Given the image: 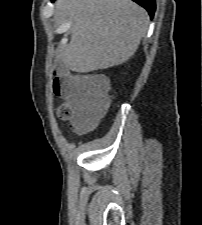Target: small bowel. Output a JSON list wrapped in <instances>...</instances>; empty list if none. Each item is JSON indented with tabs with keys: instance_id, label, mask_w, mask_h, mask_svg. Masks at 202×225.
<instances>
[{
	"instance_id": "c3829d8e",
	"label": "small bowel",
	"mask_w": 202,
	"mask_h": 225,
	"mask_svg": "<svg viewBox=\"0 0 202 225\" xmlns=\"http://www.w3.org/2000/svg\"><path fill=\"white\" fill-rule=\"evenodd\" d=\"M97 78L108 82V78L105 75H99ZM71 104L74 107L75 113L72 119V124L73 126H79L82 121L89 117V111L86 108L85 100L80 96L74 97L71 101Z\"/></svg>"
}]
</instances>
